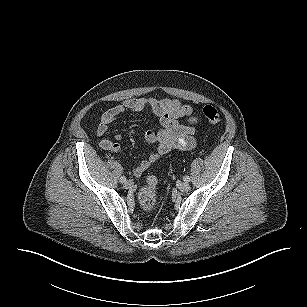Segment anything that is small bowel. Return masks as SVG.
I'll list each match as a JSON object with an SVG mask.
<instances>
[{
    "label": "small bowel",
    "instance_id": "1",
    "mask_svg": "<svg viewBox=\"0 0 307 307\" xmlns=\"http://www.w3.org/2000/svg\"><path fill=\"white\" fill-rule=\"evenodd\" d=\"M149 110L159 119L158 130H148L145 132V141L154 144L156 148L148 154L134 169L133 175L139 176L142 172L156 163L160 157L173 150H190L195 147L197 117L193 114L190 105L184 104L177 99L162 98H132L125 100L122 104L105 111L100 123L96 128L98 136H104L109 125L121 114L130 111ZM184 118L187 125L179 123V119ZM122 136L117 134L115 140L102 139L100 147L112 153H120L121 146L118 143Z\"/></svg>",
    "mask_w": 307,
    "mask_h": 307
}]
</instances>
